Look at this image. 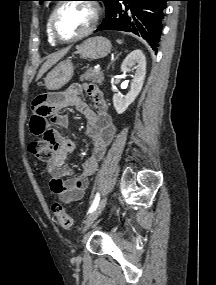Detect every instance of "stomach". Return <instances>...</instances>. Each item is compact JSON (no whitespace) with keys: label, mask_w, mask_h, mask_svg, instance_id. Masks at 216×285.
<instances>
[{"label":"stomach","mask_w":216,"mask_h":285,"mask_svg":"<svg viewBox=\"0 0 216 285\" xmlns=\"http://www.w3.org/2000/svg\"><path fill=\"white\" fill-rule=\"evenodd\" d=\"M110 41L101 36L91 37L77 46V52L85 59H100L109 54ZM74 74V66L70 59L60 62L45 78V86L49 90H59L67 84Z\"/></svg>","instance_id":"0dacf381"}]
</instances>
